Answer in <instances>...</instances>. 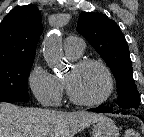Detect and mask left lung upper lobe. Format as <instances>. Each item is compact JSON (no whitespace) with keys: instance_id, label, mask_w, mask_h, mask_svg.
<instances>
[{"instance_id":"left-lung-upper-lobe-1","label":"left lung upper lobe","mask_w":144,"mask_h":137,"mask_svg":"<svg viewBox=\"0 0 144 137\" xmlns=\"http://www.w3.org/2000/svg\"><path fill=\"white\" fill-rule=\"evenodd\" d=\"M78 31L110 67L117 82L118 105L137 109L139 94L133 79L129 48L115 21L101 13H81Z\"/></svg>"}]
</instances>
